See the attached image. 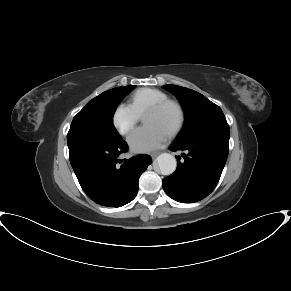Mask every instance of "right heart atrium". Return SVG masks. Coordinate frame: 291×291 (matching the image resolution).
<instances>
[{
    "mask_svg": "<svg viewBox=\"0 0 291 291\" xmlns=\"http://www.w3.org/2000/svg\"><path fill=\"white\" fill-rule=\"evenodd\" d=\"M113 125L121 135H128L140 120V115L130 104H119L113 113Z\"/></svg>",
    "mask_w": 291,
    "mask_h": 291,
    "instance_id": "obj_1",
    "label": "right heart atrium"
}]
</instances>
